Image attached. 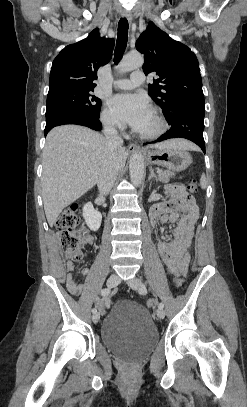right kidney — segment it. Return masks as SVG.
Returning a JSON list of instances; mask_svg holds the SVG:
<instances>
[{
    "instance_id": "obj_1",
    "label": "right kidney",
    "mask_w": 247,
    "mask_h": 407,
    "mask_svg": "<svg viewBox=\"0 0 247 407\" xmlns=\"http://www.w3.org/2000/svg\"><path fill=\"white\" fill-rule=\"evenodd\" d=\"M83 218L85 219L87 226L92 231H97L100 228L102 222V215L99 211L94 209L91 202H88L87 204L84 205Z\"/></svg>"
}]
</instances>
